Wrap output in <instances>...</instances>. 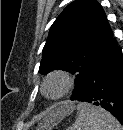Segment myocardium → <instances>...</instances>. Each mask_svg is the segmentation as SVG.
<instances>
[{"label":"myocardium","mask_w":123,"mask_h":130,"mask_svg":"<svg viewBox=\"0 0 123 130\" xmlns=\"http://www.w3.org/2000/svg\"><path fill=\"white\" fill-rule=\"evenodd\" d=\"M52 81H58L60 83V88L55 93H49L47 91V86ZM74 78L73 75L64 69H55L49 72L43 82H42V92L49 99H60L64 97L73 87Z\"/></svg>","instance_id":"myocardium-1"}]
</instances>
